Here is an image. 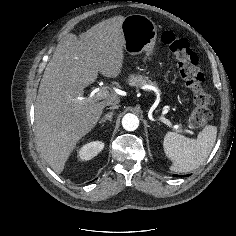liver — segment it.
Returning <instances> with one entry per match:
<instances>
[{
	"instance_id": "obj_1",
	"label": "liver",
	"mask_w": 236,
	"mask_h": 236,
	"mask_svg": "<svg viewBox=\"0 0 236 236\" xmlns=\"http://www.w3.org/2000/svg\"><path fill=\"white\" fill-rule=\"evenodd\" d=\"M124 16L99 22L80 38L67 34L57 46L40 82L35 126L41 153L61 173L77 142L97 124L106 105L120 101L109 94L102 101L84 100V88L98 72L116 78L124 61Z\"/></svg>"
}]
</instances>
